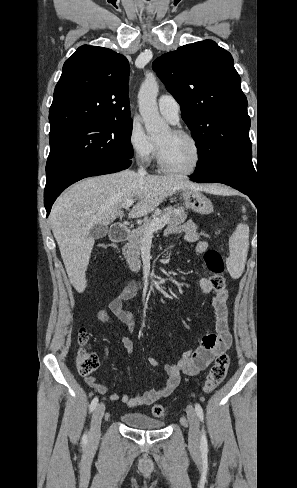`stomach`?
<instances>
[{"label": "stomach", "mask_w": 297, "mask_h": 488, "mask_svg": "<svg viewBox=\"0 0 297 488\" xmlns=\"http://www.w3.org/2000/svg\"><path fill=\"white\" fill-rule=\"evenodd\" d=\"M182 197L185 207L202 215H208L213 212L211 201L200 191L182 190Z\"/></svg>", "instance_id": "obj_1"}]
</instances>
